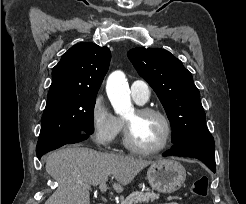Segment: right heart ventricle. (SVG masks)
Instances as JSON below:
<instances>
[{"mask_svg":"<svg viewBox=\"0 0 246 204\" xmlns=\"http://www.w3.org/2000/svg\"><path fill=\"white\" fill-rule=\"evenodd\" d=\"M120 121H121V130H123V128H124V121L122 119H120Z\"/></svg>","mask_w":246,"mask_h":204,"instance_id":"obj_1","label":"right heart ventricle"}]
</instances>
